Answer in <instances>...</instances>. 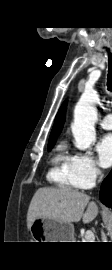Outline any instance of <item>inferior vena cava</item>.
<instances>
[{
    "mask_svg": "<svg viewBox=\"0 0 112 270\" xmlns=\"http://www.w3.org/2000/svg\"><path fill=\"white\" fill-rule=\"evenodd\" d=\"M99 174H100V171H99ZM101 180V177H100V179H99V181ZM102 235H103V232H102Z\"/></svg>",
    "mask_w": 112,
    "mask_h": 270,
    "instance_id": "inferior-vena-cava-1",
    "label": "inferior vena cava"
}]
</instances>
